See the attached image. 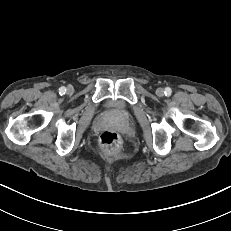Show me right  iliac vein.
<instances>
[{"label": "right iliac vein", "mask_w": 231, "mask_h": 231, "mask_svg": "<svg viewBox=\"0 0 231 231\" xmlns=\"http://www.w3.org/2000/svg\"><path fill=\"white\" fill-rule=\"evenodd\" d=\"M73 91H74V89H73L72 86H68V87H67V93H68V94H71Z\"/></svg>", "instance_id": "right-iliac-vein-1"}]
</instances>
